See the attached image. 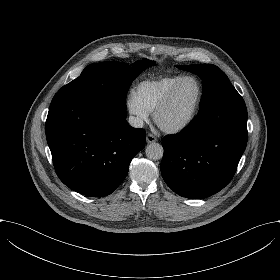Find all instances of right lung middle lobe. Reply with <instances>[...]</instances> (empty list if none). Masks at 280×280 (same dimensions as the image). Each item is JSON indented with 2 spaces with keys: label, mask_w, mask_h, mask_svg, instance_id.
Here are the masks:
<instances>
[{
  "label": "right lung middle lobe",
  "mask_w": 280,
  "mask_h": 280,
  "mask_svg": "<svg viewBox=\"0 0 280 280\" xmlns=\"http://www.w3.org/2000/svg\"><path fill=\"white\" fill-rule=\"evenodd\" d=\"M153 65L154 61L145 58L130 66L115 61L91 64L78 78L63 86L56 95L84 97L126 113V96L132 81Z\"/></svg>",
  "instance_id": "right-lung-middle-lobe-1"
}]
</instances>
